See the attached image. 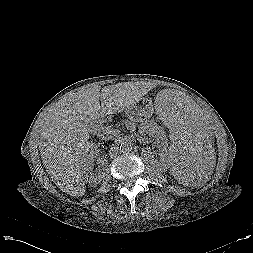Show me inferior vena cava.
Instances as JSON below:
<instances>
[{"mask_svg":"<svg viewBox=\"0 0 253 253\" xmlns=\"http://www.w3.org/2000/svg\"><path fill=\"white\" fill-rule=\"evenodd\" d=\"M97 130L99 131L100 128H95V131H97ZM119 152H120V150H119V147H118V143L113 145L110 149V155L111 156H116V155H118Z\"/></svg>","mask_w":253,"mask_h":253,"instance_id":"obj_1","label":"inferior vena cava"}]
</instances>
